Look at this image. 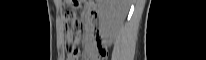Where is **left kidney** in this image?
<instances>
[{
    "mask_svg": "<svg viewBox=\"0 0 206 60\" xmlns=\"http://www.w3.org/2000/svg\"><path fill=\"white\" fill-rule=\"evenodd\" d=\"M128 12L127 0H100L98 14L100 21V33L106 42H110L115 31Z\"/></svg>",
    "mask_w": 206,
    "mask_h": 60,
    "instance_id": "obj_1",
    "label": "left kidney"
}]
</instances>
